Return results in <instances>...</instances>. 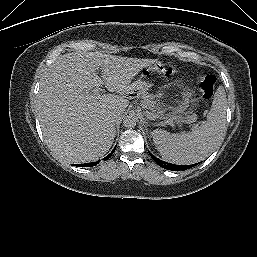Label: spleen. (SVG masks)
I'll return each instance as SVG.
<instances>
[{"label":"spleen","instance_id":"3e777b00","mask_svg":"<svg viewBox=\"0 0 257 257\" xmlns=\"http://www.w3.org/2000/svg\"><path fill=\"white\" fill-rule=\"evenodd\" d=\"M226 94L218 88L207 114V120L191 132L170 134L166 130L152 132L154 144L163 160L175 164H192L207 158L226 131Z\"/></svg>","mask_w":257,"mask_h":257}]
</instances>
